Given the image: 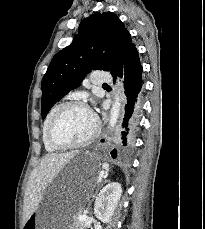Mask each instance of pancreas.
<instances>
[{"instance_id":"pancreas-1","label":"pancreas","mask_w":205,"mask_h":229,"mask_svg":"<svg viewBox=\"0 0 205 229\" xmlns=\"http://www.w3.org/2000/svg\"><path fill=\"white\" fill-rule=\"evenodd\" d=\"M79 216L80 213L78 212V214L76 215L73 221V229H85L84 223L79 221Z\"/></svg>"}]
</instances>
